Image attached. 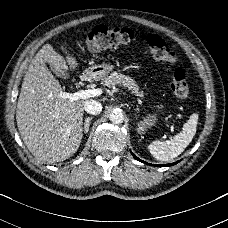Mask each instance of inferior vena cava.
<instances>
[{
    "label": "inferior vena cava",
    "mask_w": 228,
    "mask_h": 228,
    "mask_svg": "<svg viewBox=\"0 0 228 228\" xmlns=\"http://www.w3.org/2000/svg\"><path fill=\"white\" fill-rule=\"evenodd\" d=\"M84 110L91 115H98L102 111V105L96 100L88 99L85 102Z\"/></svg>",
    "instance_id": "602c4592"
}]
</instances>
